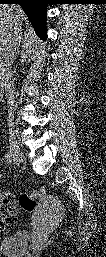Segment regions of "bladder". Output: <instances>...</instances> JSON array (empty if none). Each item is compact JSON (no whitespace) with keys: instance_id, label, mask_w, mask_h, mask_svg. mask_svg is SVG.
Instances as JSON below:
<instances>
[{"instance_id":"bladder-1","label":"bladder","mask_w":106,"mask_h":257,"mask_svg":"<svg viewBox=\"0 0 106 257\" xmlns=\"http://www.w3.org/2000/svg\"><path fill=\"white\" fill-rule=\"evenodd\" d=\"M28 243L29 235L25 231L6 235L1 239V254L8 257L21 256L26 252Z\"/></svg>"}]
</instances>
